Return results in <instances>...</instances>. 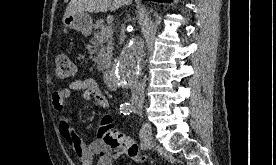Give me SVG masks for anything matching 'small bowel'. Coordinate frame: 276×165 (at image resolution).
<instances>
[{
  "label": "small bowel",
  "instance_id": "1",
  "mask_svg": "<svg viewBox=\"0 0 276 165\" xmlns=\"http://www.w3.org/2000/svg\"><path fill=\"white\" fill-rule=\"evenodd\" d=\"M77 91L92 99L96 106L107 107L105 95L92 78L75 79L67 86L56 88L52 92L51 101L58 115L60 134L80 160L81 165H112L124 154L119 150L112 149L99 138L90 142L82 140L70 123L66 114V101Z\"/></svg>",
  "mask_w": 276,
  "mask_h": 165
}]
</instances>
